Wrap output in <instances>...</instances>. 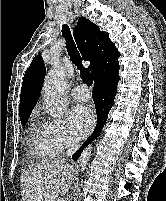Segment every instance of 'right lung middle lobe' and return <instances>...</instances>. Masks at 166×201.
<instances>
[{"label": "right lung middle lobe", "instance_id": "obj_1", "mask_svg": "<svg viewBox=\"0 0 166 201\" xmlns=\"http://www.w3.org/2000/svg\"><path fill=\"white\" fill-rule=\"evenodd\" d=\"M28 117H29V116H25V117L20 118V120H21V124H22L23 126H24L25 123L27 122Z\"/></svg>", "mask_w": 166, "mask_h": 201}]
</instances>
